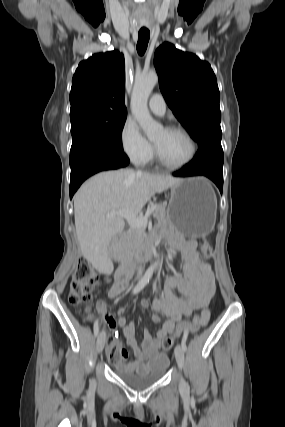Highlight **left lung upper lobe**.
Listing matches in <instances>:
<instances>
[{
	"label": "left lung upper lobe",
	"mask_w": 285,
	"mask_h": 427,
	"mask_svg": "<svg viewBox=\"0 0 285 427\" xmlns=\"http://www.w3.org/2000/svg\"><path fill=\"white\" fill-rule=\"evenodd\" d=\"M154 66L168 106L199 150L221 147L220 93L210 64L166 42L155 52Z\"/></svg>",
	"instance_id": "obj_1"
}]
</instances>
